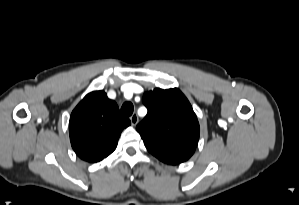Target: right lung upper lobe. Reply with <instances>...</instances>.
Segmentation results:
<instances>
[{
  "instance_id": "obj_1",
  "label": "right lung upper lobe",
  "mask_w": 299,
  "mask_h": 205,
  "mask_svg": "<svg viewBox=\"0 0 299 205\" xmlns=\"http://www.w3.org/2000/svg\"><path fill=\"white\" fill-rule=\"evenodd\" d=\"M130 123L120 116L117 104L104 91L91 92L71 114L72 148L85 161H101L115 150L122 130Z\"/></svg>"
}]
</instances>
